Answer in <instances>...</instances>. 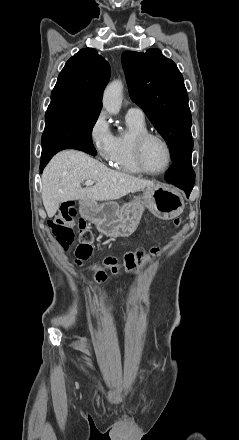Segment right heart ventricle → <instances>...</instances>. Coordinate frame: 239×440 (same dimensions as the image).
Instances as JSON below:
<instances>
[{"mask_svg":"<svg viewBox=\"0 0 239 440\" xmlns=\"http://www.w3.org/2000/svg\"><path fill=\"white\" fill-rule=\"evenodd\" d=\"M129 130L126 133L116 136V150L111 165L124 173L140 175L143 172L139 169L134 153L133 141L137 134L147 131L145 121H137L127 118Z\"/></svg>","mask_w":239,"mask_h":440,"instance_id":"e07e8e85","label":"right heart ventricle"}]
</instances>
